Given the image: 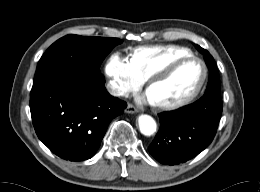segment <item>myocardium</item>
<instances>
[{
  "instance_id": "obj_1",
  "label": "myocardium",
  "mask_w": 260,
  "mask_h": 192,
  "mask_svg": "<svg viewBox=\"0 0 260 192\" xmlns=\"http://www.w3.org/2000/svg\"><path fill=\"white\" fill-rule=\"evenodd\" d=\"M188 62L197 63L200 67V76H199L197 84L195 85V87L189 93L182 96L178 100L168 101V102L157 100L156 102L159 106L170 107V106H172L176 103L186 101V100L192 98L193 96H195L199 92V90L201 89V87H202V85L205 81V78H206V68H205V66H204V64L201 60H199L197 58L189 57V58H184V59L174 61L171 64L165 66L164 68L158 70L157 72H155L151 76H149L148 79H147V90L150 94L151 87L156 82L168 77L175 69H177L179 66H181L185 63H188Z\"/></svg>"
}]
</instances>
